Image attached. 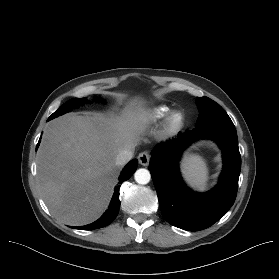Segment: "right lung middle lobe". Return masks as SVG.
Masks as SVG:
<instances>
[{
	"mask_svg": "<svg viewBox=\"0 0 279 279\" xmlns=\"http://www.w3.org/2000/svg\"><path fill=\"white\" fill-rule=\"evenodd\" d=\"M83 103H84L83 99H79V98L71 99V100L67 101L66 103H64L56 112H54L49 117V119H53L55 117H58V116H60L64 113H66V112H69L70 110H72L74 108H78Z\"/></svg>",
	"mask_w": 279,
	"mask_h": 279,
	"instance_id": "dd1d6c3e",
	"label": "right lung middle lobe"
}]
</instances>
